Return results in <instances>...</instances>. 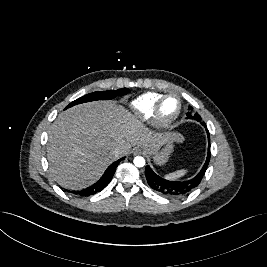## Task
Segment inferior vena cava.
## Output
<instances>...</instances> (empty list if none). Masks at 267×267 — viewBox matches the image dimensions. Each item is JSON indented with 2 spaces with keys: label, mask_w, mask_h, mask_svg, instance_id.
Segmentation results:
<instances>
[{
  "label": "inferior vena cava",
  "mask_w": 267,
  "mask_h": 267,
  "mask_svg": "<svg viewBox=\"0 0 267 267\" xmlns=\"http://www.w3.org/2000/svg\"><path fill=\"white\" fill-rule=\"evenodd\" d=\"M123 152H124V150H123V148H121V147H116V148L114 149V151H113V153H114L115 156H120V155L123 154Z\"/></svg>",
  "instance_id": "602c4592"
}]
</instances>
